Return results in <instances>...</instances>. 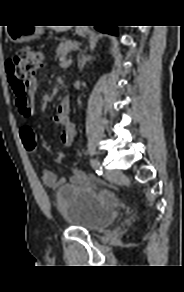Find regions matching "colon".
Masks as SVG:
<instances>
[{"instance_id": "colon-1", "label": "colon", "mask_w": 184, "mask_h": 292, "mask_svg": "<svg viewBox=\"0 0 184 292\" xmlns=\"http://www.w3.org/2000/svg\"><path fill=\"white\" fill-rule=\"evenodd\" d=\"M43 55L30 48H21L7 61L6 69L10 84L20 97V103L25 112L31 117L36 112V89L31 87L36 72L43 65ZM21 140L25 149L32 154L41 156L52 162H60L62 153H50L40 149L37 145L34 131L26 128L21 132Z\"/></svg>"}]
</instances>
